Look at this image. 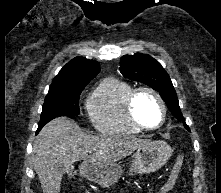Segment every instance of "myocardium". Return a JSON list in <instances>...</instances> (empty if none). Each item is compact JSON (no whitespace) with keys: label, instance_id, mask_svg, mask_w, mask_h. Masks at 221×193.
Wrapping results in <instances>:
<instances>
[{"label":"myocardium","instance_id":"obj_1","mask_svg":"<svg viewBox=\"0 0 221 193\" xmlns=\"http://www.w3.org/2000/svg\"><path fill=\"white\" fill-rule=\"evenodd\" d=\"M141 93H149L152 96H154L156 98V100L158 101L160 108H161V120L158 123V125H156L155 127H148L145 126L144 124H142L141 122H139L134 114V104L135 101L137 99V97L141 94ZM126 112L128 115L129 120L131 121V123L137 127L140 130L143 131H156L158 129H160L165 121H166V116H167V107H166V103L164 101V99L162 98V96L159 94V92H157L155 89L149 87V86H140L137 87L135 89H133L130 94L128 95L127 99H126Z\"/></svg>","mask_w":221,"mask_h":193}]
</instances>
